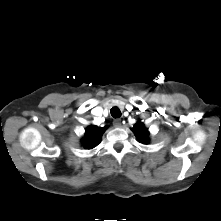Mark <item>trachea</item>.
Here are the masks:
<instances>
[{
	"label": "trachea",
	"instance_id": "3493384b",
	"mask_svg": "<svg viewBox=\"0 0 221 221\" xmlns=\"http://www.w3.org/2000/svg\"><path fill=\"white\" fill-rule=\"evenodd\" d=\"M110 113L113 118H119L121 116V111L118 107L111 108Z\"/></svg>",
	"mask_w": 221,
	"mask_h": 221
}]
</instances>
